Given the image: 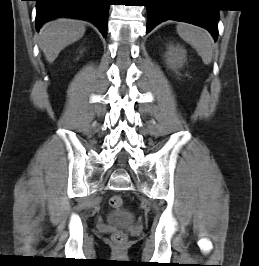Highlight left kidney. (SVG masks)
<instances>
[{"label": "left kidney", "mask_w": 259, "mask_h": 266, "mask_svg": "<svg viewBox=\"0 0 259 266\" xmlns=\"http://www.w3.org/2000/svg\"><path fill=\"white\" fill-rule=\"evenodd\" d=\"M166 61L170 68H181L186 61V51L180 46L169 45Z\"/></svg>", "instance_id": "5707ae66"}]
</instances>
